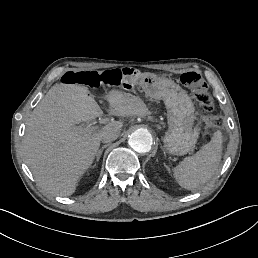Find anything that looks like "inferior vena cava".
Here are the masks:
<instances>
[{
	"label": "inferior vena cava",
	"instance_id": "1",
	"mask_svg": "<svg viewBox=\"0 0 258 258\" xmlns=\"http://www.w3.org/2000/svg\"><path fill=\"white\" fill-rule=\"evenodd\" d=\"M120 135V131L115 128H107L102 130L100 140L103 143H109L116 140Z\"/></svg>",
	"mask_w": 258,
	"mask_h": 258
}]
</instances>
